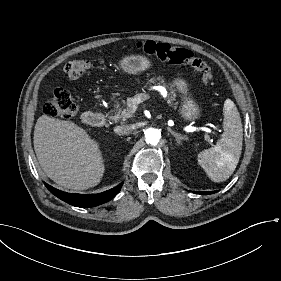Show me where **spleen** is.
Returning <instances> with one entry per match:
<instances>
[{
  "label": "spleen",
  "instance_id": "spleen-1",
  "mask_svg": "<svg viewBox=\"0 0 281 281\" xmlns=\"http://www.w3.org/2000/svg\"><path fill=\"white\" fill-rule=\"evenodd\" d=\"M224 132L214 148L201 151L196 161L212 182H223L234 172L242 151L243 129L235 104L225 100L223 107Z\"/></svg>",
  "mask_w": 281,
  "mask_h": 281
}]
</instances>
